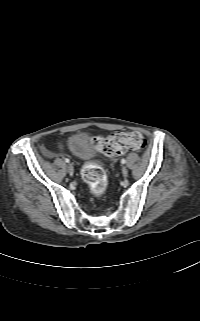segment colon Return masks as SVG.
<instances>
[{
    "label": "colon",
    "instance_id": "5ec220e1",
    "mask_svg": "<svg viewBox=\"0 0 200 321\" xmlns=\"http://www.w3.org/2000/svg\"><path fill=\"white\" fill-rule=\"evenodd\" d=\"M95 147L108 157H118L129 151H140L145 139L139 132L114 133L107 137H94ZM82 178L96 197L104 195L107 189V175L103 168L95 163H87L82 168Z\"/></svg>",
    "mask_w": 200,
    "mask_h": 321
}]
</instances>
